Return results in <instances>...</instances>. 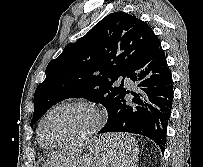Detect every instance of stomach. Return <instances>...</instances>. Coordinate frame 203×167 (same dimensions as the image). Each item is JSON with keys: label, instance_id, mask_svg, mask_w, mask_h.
Returning <instances> with one entry per match:
<instances>
[{"label": "stomach", "instance_id": "0dacf381", "mask_svg": "<svg viewBox=\"0 0 203 167\" xmlns=\"http://www.w3.org/2000/svg\"><path fill=\"white\" fill-rule=\"evenodd\" d=\"M99 140H96V142ZM106 144L108 143L94 147L88 154L76 159L70 167H110V165L112 167L109 151L104 147ZM131 154H133L132 151H130L129 155Z\"/></svg>", "mask_w": 203, "mask_h": 167}]
</instances>
